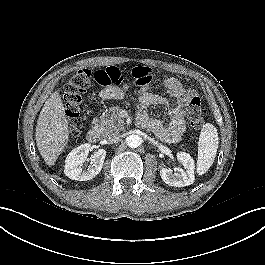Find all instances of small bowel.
Here are the masks:
<instances>
[{
    "label": "small bowel",
    "mask_w": 265,
    "mask_h": 265,
    "mask_svg": "<svg viewBox=\"0 0 265 265\" xmlns=\"http://www.w3.org/2000/svg\"><path fill=\"white\" fill-rule=\"evenodd\" d=\"M133 74L138 73L143 79V83H137L138 88V123L139 125L150 129L162 141L168 143H177L181 140L185 132V122L183 118V107L194 96V92L186 90L183 85L175 78L164 80V86L167 93L176 100V106L169 110L170 124L165 126L157 118H151L147 114V108L152 105H164L168 103L166 97L152 93L149 90L151 75L148 68L136 67L132 70ZM129 89L127 84L122 87L106 85L101 90L100 95L105 99L119 100L122 99L125 91Z\"/></svg>",
    "instance_id": "small-bowel-1"
}]
</instances>
